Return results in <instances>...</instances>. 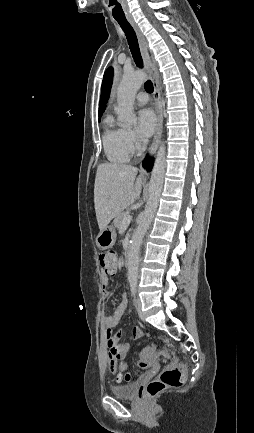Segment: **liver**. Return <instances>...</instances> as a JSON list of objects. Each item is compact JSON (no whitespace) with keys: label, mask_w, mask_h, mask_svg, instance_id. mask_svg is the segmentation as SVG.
<instances>
[{"label":"liver","mask_w":254,"mask_h":433,"mask_svg":"<svg viewBox=\"0 0 254 433\" xmlns=\"http://www.w3.org/2000/svg\"><path fill=\"white\" fill-rule=\"evenodd\" d=\"M131 165L103 163L98 166L94 185V204L100 231L141 194L143 180Z\"/></svg>","instance_id":"1"}]
</instances>
